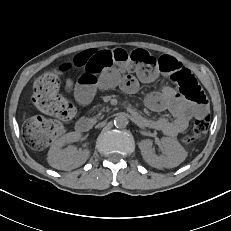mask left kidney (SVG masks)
<instances>
[{
    "instance_id": "obj_1",
    "label": "left kidney",
    "mask_w": 231,
    "mask_h": 231,
    "mask_svg": "<svg viewBox=\"0 0 231 231\" xmlns=\"http://www.w3.org/2000/svg\"><path fill=\"white\" fill-rule=\"evenodd\" d=\"M152 140L145 139L139 143V148L145 162L150 166L161 168H174L181 164L187 157V152L175 138L163 137L161 144L165 156H157L152 148Z\"/></svg>"
}]
</instances>
